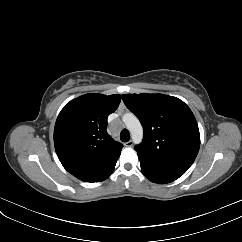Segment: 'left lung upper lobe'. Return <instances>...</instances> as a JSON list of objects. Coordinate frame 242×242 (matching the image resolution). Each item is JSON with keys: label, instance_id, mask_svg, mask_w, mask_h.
<instances>
[{"label": "left lung upper lobe", "instance_id": "1", "mask_svg": "<svg viewBox=\"0 0 242 242\" xmlns=\"http://www.w3.org/2000/svg\"><path fill=\"white\" fill-rule=\"evenodd\" d=\"M122 99L144 128L143 141L135 146L140 162L184 174L200 147L198 125L190 108L163 94H124Z\"/></svg>", "mask_w": 242, "mask_h": 242}]
</instances>
